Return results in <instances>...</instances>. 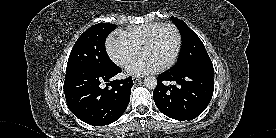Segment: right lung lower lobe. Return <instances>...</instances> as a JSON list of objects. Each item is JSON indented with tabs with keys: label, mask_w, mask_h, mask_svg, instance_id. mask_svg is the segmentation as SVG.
<instances>
[{
	"label": "right lung lower lobe",
	"mask_w": 276,
	"mask_h": 138,
	"mask_svg": "<svg viewBox=\"0 0 276 138\" xmlns=\"http://www.w3.org/2000/svg\"><path fill=\"white\" fill-rule=\"evenodd\" d=\"M122 70L114 64L109 69L80 68L66 73L64 92L72 113L93 126L118 120L126 110L133 86L131 77L112 80ZM106 83V87L102 84Z\"/></svg>",
	"instance_id": "98d812e1"
}]
</instances>
